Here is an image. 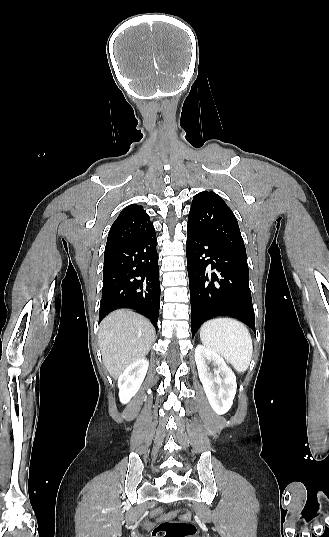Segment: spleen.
Instances as JSON below:
<instances>
[{
    "label": "spleen",
    "instance_id": "1",
    "mask_svg": "<svg viewBox=\"0 0 329 537\" xmlns=\"http://www.w3.org/2000/svg\"><path fill=\"white\" fill-rule=\"evenodd\" d=\"M200 339L207 348L221 354L238 372L248 369L253 343L247 327L229 317H218L205 322Z\"/></svg>",
    "mask_w": 329,
    "mask_h": 537
}]
</instances>
